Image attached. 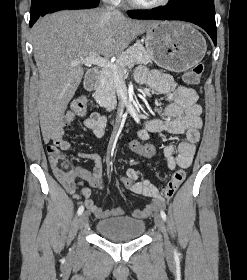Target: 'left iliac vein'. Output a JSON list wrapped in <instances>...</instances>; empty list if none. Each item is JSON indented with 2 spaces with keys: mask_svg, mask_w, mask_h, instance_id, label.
I'll return each instance as SVG.
<instances>
[{
  "mask_svg": "<svg viewBox=\"0 0 247 280\" xmlns=\"http://www.w3.org/2000/svg\"><path fill=\"white\" fill-rule=\"evenodd\" d=\"M154 221H155V224L158 228V230L163 234L164 236V244H165V248L167 250H170L171 249V245H170V241L168 239V235H167V232H166V227H165V223H164V220L163 218L158 215V214H155L154 215Z\"/></svg>",
  "mask_w": 247,
  "mask_h": 280,
  "instance_id": "obj_1",
  "label": "left iliac vein"
}]
</instances>
